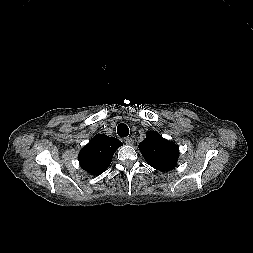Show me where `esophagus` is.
Here are the masks:
<instances>
[{
    "label": "esophagus",
    "instance_id": "obj_1",
    "mask_svg": "<svg viewBox=\"0 0 253 253\" xmlns=\"http://www.w3.org/2000/svg\"><path fill=\"white\" fill-rule=\"evenodd\" d=\"M124 142L127 144V145H132L133 144V139L131 137H127L124 139Z\"/></svg>",
    "mask_w": 253,
    "mask_h": 253
}]
</instances>
